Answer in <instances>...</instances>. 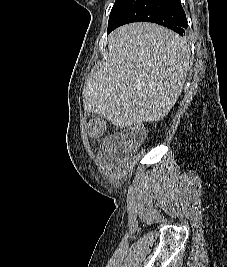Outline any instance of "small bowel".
Returning <instances> with one entry per match:
<instances>
[{
  "instance_id": "c3829d8e",
  "label": "small bowel",
  "mask_w": 227,
  "mask_h": 267,
  "mask_svg": "<svg viewBox=\"0 0 227 267\" xmlns=\"http://www.w3.org/2000/svg\"><path fill=\"white\" fill-rule=\"evenodd\" d=\"M115 152L114 141L112 139L107 140L102 147V155L104 157L112 156Z\"/></svg>"
}]
</instances>
